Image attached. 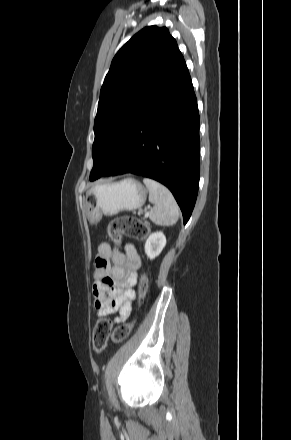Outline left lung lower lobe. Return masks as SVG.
Listing matches in <instances>:
<instances>
[{"mask_svg": "<svg viewBox=\"0 0 291 440\" xmlns=\"http://www.w3.org/2000/svg\"><path fill=\"white\" fill-rule=\"evenodd\" d=\"M199 113L185 61L142 112L102 176L141 175L164 184L179 204L184 224L199 185Z\"/></svg>", "mask_w": 291, "mask_h": 440, "instance_id": "left-lung-lower-lobe-1", "label": "left lung lower lobe"}]
</instances>
